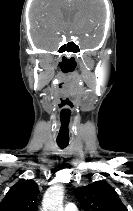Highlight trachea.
Listing matches in <instances>:
<instances>
[{
	"label": "trachea",
	"instance_id": "trachea-1",
	"mask_svg": "<svg viewBox=\"0 0 133 211\" xmlns=\"http://www.w3.org/2000/svg\"><path fill=\"white\" fill-rule=\"evenodd\" d=\"M69 141H60V140H57V144L60 148H65L67 147Z\"/></svg>",
	"mask_w": 133,
	"mask_h": 211
}]
</instances>
